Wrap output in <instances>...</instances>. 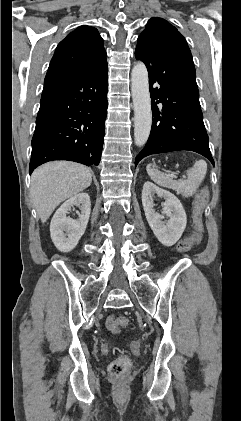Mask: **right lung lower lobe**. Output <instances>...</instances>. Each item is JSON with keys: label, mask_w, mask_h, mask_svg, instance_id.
I'll use <instances>...</instances> for the list:
<instances>
[{"label": "right lung lower lobe", "mask_w": 241, "mask_h": 421, "mask_svg": "<svg viewBox=\"0 0 241 421\" xmlns=\"http://www.w3.org/2000/svg\"><path fill=\"white\" fill-rule=\"evenodd\" d=\"M107 61L44 84L29 172L53 160L98 165L107 115Z\"/></svg>", "instance_id": "98d812e1"}]
</instances>
